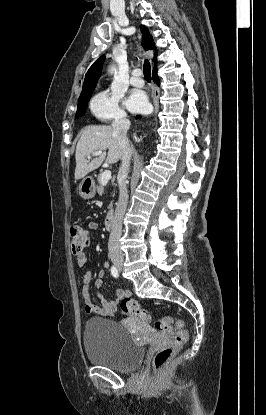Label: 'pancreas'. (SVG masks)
<instances>
[{"mask_svg":"<svg viewBox=\"0 0 266 415\" xmlns=\"http://www.w3.org/2000/svg\"><path fill=\"white\" fill-rule=\"evenodd\" d=\"M97 181L98 185L96 187V191L99 195H102L104 193V185L101 183V174L98 176ZM109 208H112V203H110Z\"/></svg>","mask_w":266,"mask_h":415,"instance_id":"cf45deb5","label":"pancreas"}]
</instances>
